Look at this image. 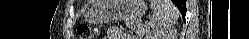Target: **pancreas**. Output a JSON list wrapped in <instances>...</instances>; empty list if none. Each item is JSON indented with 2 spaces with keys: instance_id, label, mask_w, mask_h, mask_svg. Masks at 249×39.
Listing matches in <instances>:
<instances>
[{
  "instance_id": "1",
  "label": "pancreas",
  "mask_w": 249,
  "mask_h": 39,
  "mask_svg": "<svg viewBox=\"0 0 249 39\" xmlns=\"http://www.w3.org/2000/svg\"><path fill=\"white\" fill-rule=\"evenodd\" d=\"M127 26H129L133 31H135L139 35H143L146 32V29L139 22L130 21L127 23Z\"/></svg>"
}]
</instances>
